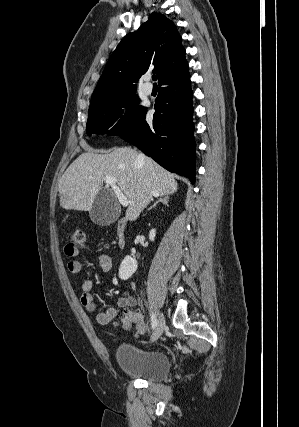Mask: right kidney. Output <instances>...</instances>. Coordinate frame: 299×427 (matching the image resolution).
<instances>
[{"label":"right kidney","mask_w":299,"mask_h":427,"mask_svg":"<svg viewBox=\"0 0 299 427\" xmlns=\"http://www.w3.org/2000/svg\"><path fill=\"white\" fill-rule=\"evenodd\" d=\"M156 230L152 229L149 233V239L154 241ZM137 261L130 256H126L119 268V278L122 280L129 279L137 270Z\"/></svg>","instance_id":"1"}]
</instances>
